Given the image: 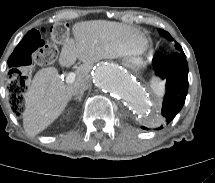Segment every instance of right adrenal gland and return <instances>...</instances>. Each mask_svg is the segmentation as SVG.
<instances>
[{
  "instance_id": "1",
  "label": "right adrenal gland",
  "mask_w": 215,
  "mask_h": 183,
  "mask_svg": "<svg viewBox=\"0 0 215 183\" xmlns=\"http://www.w3.org/2000/svg\"><path fill=\"white\" fill-rule=\"evenodd\" d=\"M83 94H84V93H81V94H79L78 96H75L73 99L76 100V101L81 102L82 97H83Z\"/></svg>"
}]
</instances>
